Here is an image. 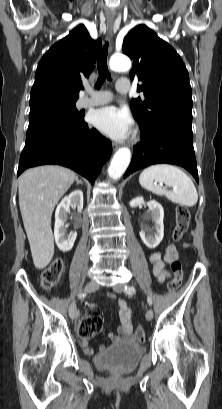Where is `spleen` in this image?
Segmentation results:
<instances>
[{"label": "spleen", "mask_w": 222, "mask_h": 409, "mask_svg": "<svg viewBox=\"0 0 222 409\" xmlns=\"http://www.w3.org/2000/svg\"><path fill=\"white\" fill-rule=\"evenodd\" d=\"M165 183L173 187L166 190L157 185ZM140 185L159 196H165L173 203L192 207L198 201L197 190L190 177L180 168L169 164H157L147 167L139 176Z\"/></svg>", "instance_id": "1"}]
</instances>
